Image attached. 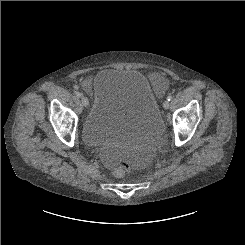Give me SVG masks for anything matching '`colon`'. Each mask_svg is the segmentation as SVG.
<instances>
[{"label": "colon", "instance_id": "colon-1", "mask_svg": "<svg viewBox=\"0 0 245 245\" xmlns=\"http://www.w3.org/2000/svg\"><path fill=\"white\" fill-rule=\"evenodd\" d=\"M130 169L129 163L125 160H118L115 165V174L119 177L124 176Z\"/></svg>", "mask_w": 245, "mask_h": 245}]
</instances>
